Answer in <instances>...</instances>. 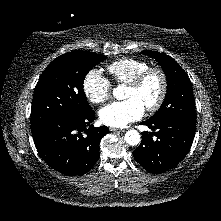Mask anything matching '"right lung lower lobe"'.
Segmentation results:
<instances>
[{
    "mask_svg": "<svg viewBox=\"0 0 221 221\" xmlns=\"http://www.w3.org/2000/svg\"><path fill=\"white\" fill-rule=\"evenodd\" d=\"M94 118L90 110L80 116L53 119L32 132L35 146L48 166L67 176H81L92 169L100 157V139L109 132L106 126L90 125Z\"/></svg>",
    "mask_w": 221,
    "mask_h": 221,
    "instance_id": "right-lung-lower-lobe-1",
    "label": "right lung lower lobe"
}]
</instances>
